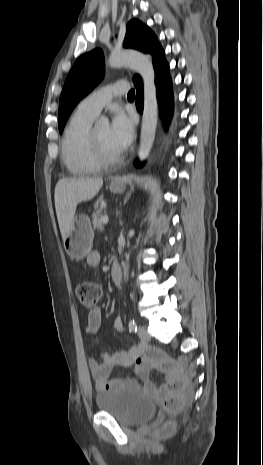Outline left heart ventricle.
<instances>
[{
	"label": "left heart ventricle",
	"instance_id": "b2bd125f",
	"mask_svg": "<svg viewBox=\"0 0 263 465\" xmlns=\"http://www.w3.org/2000/svg\"><path fill=\"white\" fill-rule=\"evenodd\" d=\"M97 139L103 149V151L109 156H115L120 153L117 148L112 144L109 135V126L102 125L95 128Z\"/></svg>",
	"mask_w": 263,
	"mask_h": 465
}]
</instances>
